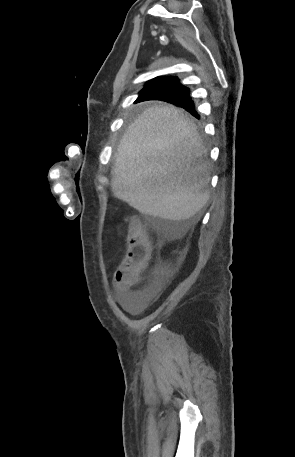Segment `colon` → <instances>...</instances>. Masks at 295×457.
Wrapping results in <instances>:
<instances>
[{
  "mask_svg": "<svg viewBox=\"0 0 295 457\" xmlns=\"http://www.w3.org/2000/svg\"><path fill=\"white\" fill-rule=\"evenodd\" d=\"M151 252L150 241L137 220L130 222L128 247L126 255L118 268V274L127 280V286L132 287L140 272L145 268Z\"/></svg>",
  "mask_w": 295,
  "mask_h": 457,
  "instance_id": "colon-1",
  "label": "colon"
}]
</instances>
